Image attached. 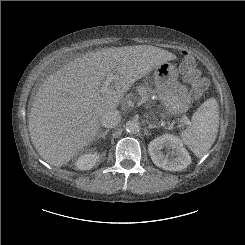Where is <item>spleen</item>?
I'll return each instance as SVG.
<instances>
[{"instance_id": "obj_1", "label": "spleen", "mask_w": 245, "mask_h": 245, "mask_svg": "<svg viewBox=\"0 0 245 245\" xmlns=\"http://www.w3.org/2000/svg\"><path fill=\"white\" fill-rule=\"evenodd\" d=\"M219 128V105L215 98L206 100L192 116L191 125L181 133L182 142L202 157L214 143Z\"/></svg>"}]
</instances>
